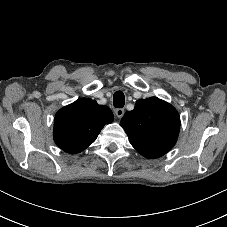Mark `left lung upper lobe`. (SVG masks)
I'll return each instance as SVG.
<instances>
[{
  "mask_svg": "<svg viewBox=\"0 0 227 227\" xmlns=\"http://www.w3.org/2000/svg\"><path fill=\"white\" fill-rule=\"evenodd\" d=\"M120 125L142 156L158 158L175 145L180 117L172 105L151 97L137 101L134 110L125 113Z\"/></svg>",
  "mask_w": 227,
  "mask_h": 227,
  "instance_id": "1",
  "label": "left lung upper lobe"
}]
</instances>
